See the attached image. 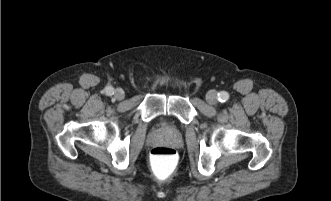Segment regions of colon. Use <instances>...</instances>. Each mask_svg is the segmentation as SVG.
<instances>
[{
	"label": "colon",
	"instance_id": "1",
	"mask_svg": "<svg viewBox=\"0 0 331 201\" xmlns=\"http://www.w3.org/2000/svg\"><path fill=\"white\" fill-rule=\"evenodd\" d=\"M149 161L155 177L159 180H166L177 171L179 155L174 148L157 146L151 150Z\"/></svg>",
	"mask_w": 331,
	"mask_h": 201
}]
</instances>
